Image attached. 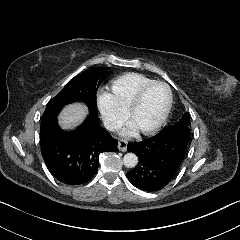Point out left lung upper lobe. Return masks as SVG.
Instances as JSON below:
<instances>
[{"instance_id": "5c2ea615", "label": "left lung upper lobe", "mask_w": 240, "mask_h": 240, "mask_svg": "<svg viewBox=\"0 0 240 240\" xmlns=\"http://www.w3.org/2000/svg\"><path fill=\"white\" fill-rule=\"evenodd\" d=\"M190 116L185 112L181 119L172 126H165L162 131H175L190 136L189 130Z\"/></svg>"}]
</instances>
